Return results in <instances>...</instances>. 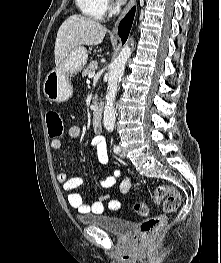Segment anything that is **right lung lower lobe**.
Listing matches in <instances>:
<instances>
[{
    "mask_svg": "<svg viewBox=\"0 0 221 263\" xmlns=\"http://www.w3.org/2000/svg\"><path fill=\"white\" fill-rule=\"evenodd\" d=\"M134 14H135V7H133L129 11V13L124 17V19L119 24L118 33H119V36L121 37L123 44L128 38L130 29L132 26V22L134 19Z\"/></svg>",
    "mask_w": 221,
    "mask_h": 263,
    "instance_id": "right-lung-lower-lobe-1",
    "label": "right lung lower lobe"
}]
</instances>
